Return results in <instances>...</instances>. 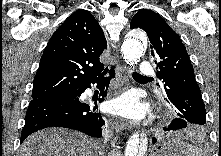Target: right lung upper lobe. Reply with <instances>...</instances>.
I'll return each mask as SVG.
<instances>
[{"instance_id":"1","label":"right lung upper lobe","mask_w":221,"mask_h":156,"mask_svg":"<svg viewBox=\"0 0 221 156\" xmlns=\"http://www.w3.org/2000/svg\"><path fill=\"white\" fill-rule=\"evenodd\" d=\"M107 48L104 32L87 10L71 14L50 38L34 78L32 98L77 91L107 68L99 57Z\"/></svg>"}]
</instances>
